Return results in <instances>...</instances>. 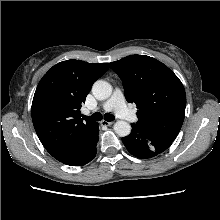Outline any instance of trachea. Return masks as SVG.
<instances>
[{"instance_id":"obj_1","label":"trachea","mask_w":220,"mask_h":220,"mask_svg":"<svg viewBox=\"0 0 220 220\" xmlns=\"http://www.w3.org/2000/svg\"><path fill=\"white\" fill-rule=\"evenodd\" d=\"M82 117H83V119H86V120L91 119V120H94V121H100L103 118L102 114L100 112H96V113H94L91 116H84L83 115ZM104 119L106 121H113L115 119V117L112 114H105L104 115Z\"/></svg>"}]
</instances>
